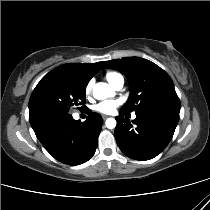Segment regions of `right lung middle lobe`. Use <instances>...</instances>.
Segmentation results:
<instances>
[{
    "label": "right lung middle lobe",
    "instance_id": "1",
    "mask_svg": "<svg viewBox=\"0 0 210 210\" xmlns=\"http://www.w3.org/2000/svg\"><path fill=\"white\" fill-rule=\"evenodd\" d=\"M86 86L87 84L63 75L42 78L29 100L30 124L49 116L67 115L73 106L85 107Z\"/></svg>",
    "mask_w": 210,
    "mask_h": 210
}]
</instances>
